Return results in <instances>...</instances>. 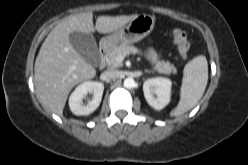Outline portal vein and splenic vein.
<instances>
[{"instance_id": "18ae733b", "label": "portal vein and splenic vein", "mask_w": 248, "mask_h": 165, "mask_svg": "<svg viewBox=\"0 0 248 165\" xmlns=\"http://www.w3.org/2000/svg\"><path fill=\"white\" fill-rule=\"evenodd\" d=\"M123 59H124L123 56H119V57L117 58V60H119V61H122Z\"/></svg>"}]
</instances>
